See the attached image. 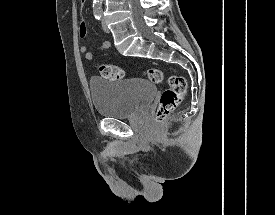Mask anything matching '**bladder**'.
<instances>
[{
  "instance_id": "bladder-1",
  "label": "bladder",
  "mask_w": 275,
  "mask_h": 215,
  "mask_svg": "<svg viewBox=\"0 0 275 215\" xmlns=\"http://www.w3.org/2000/svg\"><path fill=\"white\" fill-rule=\"evenodd\" d=\"M157 93L154 83L144 78L107 81L92 77L90 94L98 115L129 118L148 107Z\"/></svg>"
}]
</instances>
